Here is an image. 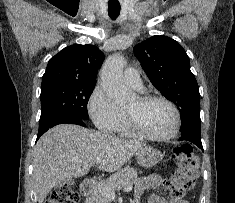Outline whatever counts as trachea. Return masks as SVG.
Listing matches in <instances>:
<instances>
[{
  "mask_svg": "<svg viewBox=\"0 0 235 203\" xmlns=\"http://www.w3.org/2000/svg\"><path fill=\"white\" fill-rule=\"evenodd\" d=\"M120 14V4H108V15L115 20Z\"/></svg>",
  "mask_w": 235,
  "mask_h": 203,
  "instance_id": "3493384b",
  "label": "trachea"
}]
</instances>
